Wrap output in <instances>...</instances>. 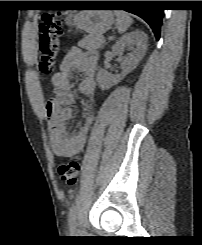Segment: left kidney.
Here are the masks:
<instances>
[{"label": "left kidney", "mask_w": 202, "mask_h": 245, "mask_svg": "<svg viewBox=\"0 0 202 245\" xmlns=\"http://www.w3.org/2000/svg\"><path fill=\"white\" fill-rule=\"evenodd\" d=\"M147 35L142 31H133L121 37L112 47L114 55L122 57L127 47L130 53L121 62L122 73L112 75L105 69H100L97 81L102 90H107L118 84L128 73L136 68L147 50Z\"/></svg>", "instance_id": "obj_1"}]
</instances>
